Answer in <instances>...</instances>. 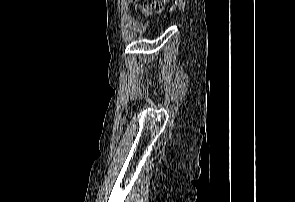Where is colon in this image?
I'll list each match as a JSON object with an SVG mask.
<instances>
[{"instance_id":"obj_1","label":"colon","mask_w":295,"mask_h":202,"mask_svg":"<svg viewBox=\"0 0 295 202\" xmlns=\"http://www.w3.org/2000/svg\"><path fill=\"white\" fill-rule=\"evenodd\" d=\"M140 10L144 13L148 12L149 10L152 12L159 13L162 11V4L159 1H154L149 6L148 5L140 6Z\"/></svg>"}]
</instances>
